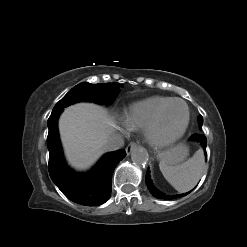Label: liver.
<instances>
[{
	"label": "liver",
	"instance_id": "liver-1",
	"mask_svg": "<svg viewBox=\"0 0 247 247\" xmlns=\"http://www.w3.org/2000/svg\"><path fill=\"white\" fill-rule=\"evenodd\" d=\"M117 125L108 112L94 103H77L66 108L59 119L61 141L69 164L86 170L106 152Z\"/></svg>",
	"mask_w": 247,
	"mask_h": 247
}]
</instances>
